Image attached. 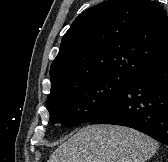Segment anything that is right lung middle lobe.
<instances>
[{
  "instance_id": "dd1d6c3e",
  "label": "right lung middle lobe",
  "mask_w": 168,
  "mask_h": 162,
  "mask_svg": "<svg viewBox=\"0 0 168 162\" xmlns=\"http://www.w3.org/2000/svg\"><path fill=\"white\" fill-rule=\"evenodd\" d=\"M130 78L125 74H105L76 81L50 92L47 97L50 122L66 127L91 122Z\"/></svg>"
}]
</instances>
